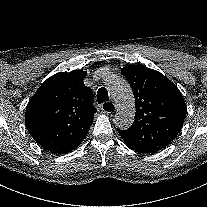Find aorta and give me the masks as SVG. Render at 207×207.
<instances>
[{
    "instance_id": "762f6f07",
    "label": "aorta",
    "mask_w": 207,
    "mask_h": 207,
    "mask_svg": "<svg viewBox=\"0 0 207 207\" xmlns=\"http://www.w3.org/2000/svg\"><path fill=\"white\" fill-rule=\"evenodd\" d=\"M107 89L118 107L114 117L115 125L121 130L130 128L135 116V101L129 83L124 78L111 74L107 79Z\"/></svg>"
}]
</instances>
